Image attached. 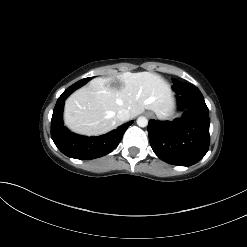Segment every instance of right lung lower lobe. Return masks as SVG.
<instances>
[{
    "label": "right lung lower lobe",
    "instance_id": "obj_1",
    "mask_svg": "<svg viewBox=\"0 0 247 247\" xmlns=\"http://www.w3.org/2000/svg\"><path fill=\"white\" fill-rule=\"evenodd\" d=\"M84 84L86 83L80 80L63 92L57 100L51 119V137L57 148L66 156L80 160L99 158L113 151L127 128L133 123L130 121L116 130L96 137L81 136L70 132L63 125L62 120L64 101Z\"/></svg>",
    "mask_w": 247,
    "mask_h": 247
}]
</instances>
